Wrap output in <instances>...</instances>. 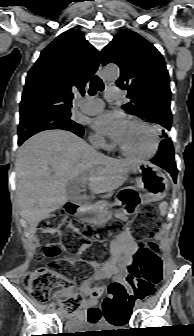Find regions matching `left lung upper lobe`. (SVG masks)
Returning <instances> with one entry per match:
<instances>
[{
  "label": "left lung upper lobe",
  "mask_w": 194,
  "mask_h": 336,
  "mask_svg": "<svg viewBox=\"0 0 194 336\" xmlns=\"http://www.w3.org/2000/svg\"><path fill=\"white\" fill-rule=\"evenodd\" d=\"M102 64L120 67L116 85L128 90L129 102L122 108L146 122L171 129L169 76L160 52L134 31L120 30L102 50Z\"/></svg>",
  "instance_id": "obj_1"
}]
</instances>
